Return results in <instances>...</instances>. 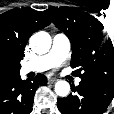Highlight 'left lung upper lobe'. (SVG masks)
I'll return each mask as SVG.
<instances>
[{"label": "left lung upper lobe", "instance_id": "obj_1", "mask_svg": "<svg viewBox=\"0 0 114 114\" xmlns=\"http://www.w3.org/2000/svg\"><path fill=\"white\" fill-rule=\"evenodd\" d=\"M46 13L71 41L73 74L114 85V48L102 34L103 25L92 15L70 7Z\"/></svg>", "mask_w": 114, "mask_h": 114}]
</instances>
